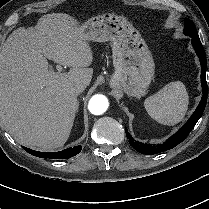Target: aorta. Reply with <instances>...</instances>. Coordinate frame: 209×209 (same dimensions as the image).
I'll list each match as a JSON object with an SVG mask.
<instances>
[{
	"mask_svg": "<svg viewBox=\"0 0 209 209\" xmlns=\"http://www.w3.org/2000/svg\"><path fill=\"white\" fill-rule=\"evenodd\" d=\"M109 102L106 96L96 94L89 100L88 109L94 115H101L106 112Z\"/></svg>",
	"mask_w": 209,
	"mask_h": 209,
	"instance_id": "obj_1",
	"label": "aorta"
}]
</instances>
